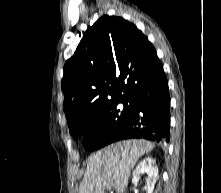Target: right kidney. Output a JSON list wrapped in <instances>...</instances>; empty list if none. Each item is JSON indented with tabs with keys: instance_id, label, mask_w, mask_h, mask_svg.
<instances>
[{
	"instance_id": "obj_1",
	"label": "right kidney",
	"mask_w": 221,
	"mask_h": 193,
	"mask_svg": "<svg viewBox=\"0 0 221 193\" xmlns=\"http://www.w3.org/2000/svg\"><path fill=\"white\" fill-rule=\"evenodd\" d=\"M143 173L148 174V178L146 179V191L147 193H153L154 185L158 179V167L156 166L155 160L153 158H145L133 171L132 183L134 185L138 183L140 175Z\"/></svg>"
}]
</instances>
